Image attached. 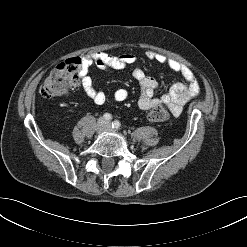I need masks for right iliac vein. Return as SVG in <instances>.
<instances>
[{
  "label": "right iliac vein",
  "mask_w": 247,
  "mask_h": 247,
  "mask_svg": "<svg viewBox=\"0 0 247 247\" xmlns=\"http://www.w3.org/2000/svg\"><path fill=\"white\" fill-rule=\"evenodd\" d=\"M105 129H106V123H105L104 119L101 118V119L98 120V122H97V124H96V131H97L98 133H101V132H103Z\"/></svg>",
  "instance_id": "63e3f726"
}]
</instances>
